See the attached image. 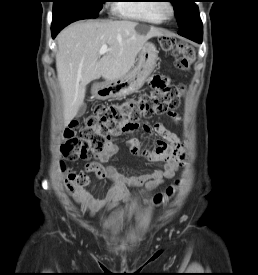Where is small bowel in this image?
Segmentation results:
<instances>
[{"instance_id": "small-bowel-1", "label": "small bowel", "mask_w": 258, "mask_h": 275, "mask_svg": "<svg viewBox=\"0 0 258 275\" xmlns=\"http://www.w3.org/2000/svg\"><path fill=\"white\" fill-rule=\"evenodd\" d=\"M160 78L167 83L165 78ZM169 115L175 122L180 120L179 115L174 111ZM142 128L146 133L150 135L156 134L159 137L156 140L157 148L155 150H143L139 140L131 136L134 130L121 132L120 134L124 133L129 135L126 144L132 154L146 157L153 162H164V168L133 177L122 175L118 173L113 166L104 165L118 152L117 145L112 140L108 141L103 150L96 154L97 161L87 164L86 170L94 172L98 179H111L113 186L102 199H94L90 192L80 191L77 202L83 211L94 214L96 211L107 210L120 202H128L131 199V193L128 189L130 185H144L142 192L151 191L163 184L165 179L174 176L184 159V145L182 140L177 134L169 131L161 123H156L153 126L144 123Z\"/></svg>"}]
</instances>
